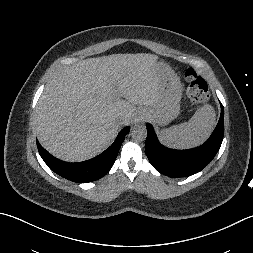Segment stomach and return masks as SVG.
Wrapping results in <instances>:
<instances>
[{"label": "stomach", "instance_id": "0dacf381", "mask_svg": "<svg viewBox=\"0 0 253 253\" xmlns=\"http://www.w3.org/2000/svg\"><path fill=\"white\" fill-rule=\"evenodd\" d=\"M159 102L147 110L149 117L158 125H167L180 113L182 84L174 70L163 62H158Z\"/></svg>", "mask_w": 253, "mask_h": 253}]
</instances>
